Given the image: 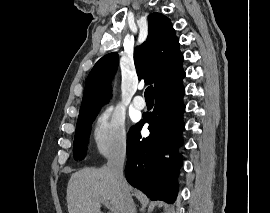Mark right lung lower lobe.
I'll return each mask as SVG.
<instances>
[{
    "mask_svg": "<svg viewBox=\"0 0 270 213\" xmlns=\"http://www.w3.org/2000/svg\"><path fill=\"white\" fill-rule=\"evenodd\" d=\"M182 71L156 90L153 112L132 127L127 139V181L154 200L173 203L177 196L178 169L182 165L176 149L182 144L185 88ZM149 123L150 135L142 138L140 129ZM170 157L166 159L165 154Z\"/></svg>",
    "mask_w": 270,
    "mask_h": 213,
    "instance_id": "right-lung-lower-lobe-1",
    "label": "right lung lower lobe"
}]
</instances>
